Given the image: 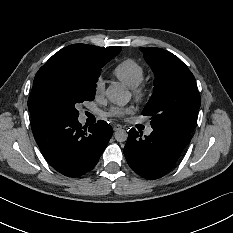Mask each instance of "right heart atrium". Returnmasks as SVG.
Segmentation results:
<instances>
[{"instance_id":"d8ad5b80","label":"right heart atrium","mask_w":233,"mask_h":233,"mask_svg":"<svg viewBox=\"0 0 233 233\" xmlns=\"http://www.w3.org/2000/svg\"><path fill=\"white\" fill-rule=\"evenodd\" d=\"M104 88H105V82L102 78H98V80L96 81L95 84V92L97 94L99 93H103L104 92Z\"/></svg>"}]
</instances>
